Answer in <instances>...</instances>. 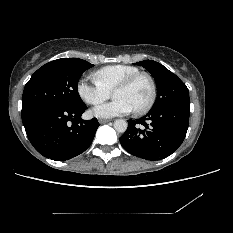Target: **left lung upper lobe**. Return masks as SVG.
Returning <instances> with one entry per match:
<instances>
[{
  "label": "left lung upper lobe",
  "mask_w": 233,
  "mask_h": 233,
  "mask_svg": "<svg viewBox=\"0 0 233 233\" xmlns=\"http://www.w3.org/2000/svg\"><path fill=\"white\" fill-rule=\"evenodd\" d=\"M135 65L143 66L155 79L157 99L151 110L190 101L186 85L162 64L153 60H144Z\"/></svg>",
  "instance_id": "5c2ea615"
}]
</instances>
